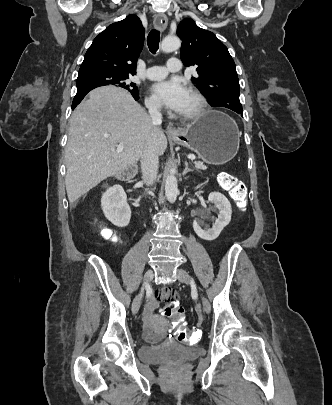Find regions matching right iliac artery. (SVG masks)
Returning a JSON list of instances; mask_svg holds the SVG:
<instances>
[{"instance_id": "right-iliac-artery-1", "label": "right iliac artery", "mask_w": 332, "mask_h": 405, "mask_svg": "<svg viewBox=\"0 0 332 405\" xmlns=\"http://www.w3.org/2000/svg\"><path fill=\"white\" fill-rule=\"evenodd\" d=\"M143 292H144V288L142 289V295H143Z\"/></svg>"}]
</instances>
